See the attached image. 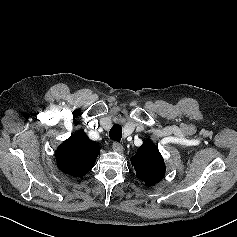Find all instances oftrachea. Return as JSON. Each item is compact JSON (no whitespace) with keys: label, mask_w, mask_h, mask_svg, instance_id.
Here are the masks:
<instances>
[{"label":"trachea","mask_w":237,"mask_h":237,"mask_svg":"<svg viewBox=\"0 0 237 237\" xmlns=\"http://www.w3.org/2000/svg\"><path fill=\"white\" fill-rule=\"evenodd\" d=\"M109 136L112 140L119 142L122 138V128L120 125H114L109 132Z\"/></svg>","instance_id":"trachea-1"}]
</instances>
